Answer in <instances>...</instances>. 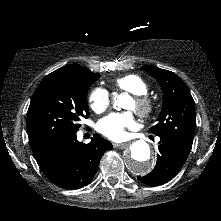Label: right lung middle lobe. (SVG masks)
I'll return each mask as SVG.
<instances>
[{
  "label": "right lung middle lobe",
  "mask_w": 221,
  "mask_h": 221,
  "mask_svg": "<svg viewBox=\"0 0 221 221\" xmlns=\"http://www.w3.org/2000/svg\"><path fill=\"white\" fill-rule=\"evenodd\" d=\"M100 74L90 70L58 69L48 74L35 90L27 113L31 146L66 132H77L80 120L89 116L87 92Z\"/></svg>",
  "instance_id": "dd1d6c3e"
}]
</instances>
